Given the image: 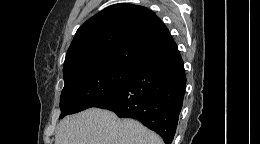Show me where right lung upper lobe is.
<instances>
[{
	"instance_id": "obj_1",
	"label": "right lung upper lobe",
	"mask_w": 260,
	"mask_h": 144,
	"mask_svg": "<svg viewBox=\"0 0 260 144\" xmlns=\"http://www.w3.org/2000/svg\"><path fill=\"white\" fill-rule=\"evenodd\" d=\"M176 49L168 29L152 11L133 4H115L77 30L63 74L102 64L135 69Z\"/></svg>"
}]
</instances>
